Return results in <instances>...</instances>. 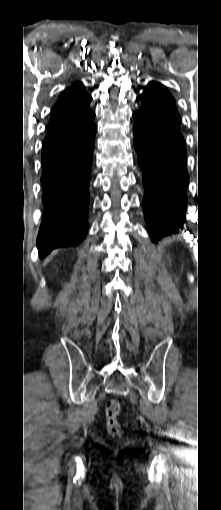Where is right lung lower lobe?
I'll return each mask as SVG.
<instances>
[{
  "label": "right lung lower lobe",
  "mask_w": 221,
  "mask_h": 510,
  "mask_svg": "<svg viewBox=\"0 0 221 510\" xmlns=\"http://www.w3.org/2000/svg\"><path fill=\"white\" fill-rule=\"evenodd\" d=\"M93 118L75 132L43 141L44 214L37 238L41 258L53 249L77 246L87 233Z\"/></svg>",
  "instance_id": "1"
}]
</instances>
